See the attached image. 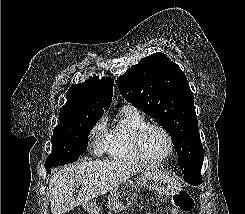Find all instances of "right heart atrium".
Masks as SVG:
<instances>
[{
	"label": "right heart atrium",
	"mask_w": 245,
	"mask_h": 214,
	"mask_svg": "<svg viewBox=\"0 0 245 214\" xmlns=\"http://www.w3.org/2000/svg\"><path fill=\"white\" fill-rule=\"evenodd\" d=\"M106 132V123L104 119L97 121L90 131L92 139V151L99 155L103 151V136Z\"/></svg>",
	"instance_id": "1"
}]
</instances>
